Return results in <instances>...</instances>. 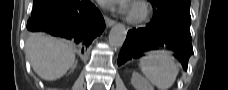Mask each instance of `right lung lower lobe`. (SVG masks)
I'll list each match as a JSON object with an SVG mask.
<instances>
[{
    "label": "right lung lower lobe",
    "instance_id": "obj_1",
    "mask_svg": "<svg viewBox=\"0 0 228 90\" xmlns=\"http://www.w3.org/2000/svg\"><path fill=\"white\" fill-rule=\"evenodd\" d=\"M105 28L103 16L89 0H34L27 29L74 41L82 52Z\"/></svg>",
    "mask_w": 228,
    "mask_h": 90
}]
</instances>
